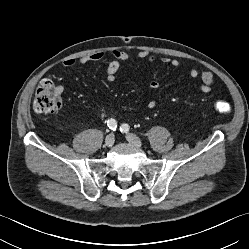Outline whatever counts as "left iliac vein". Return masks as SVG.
Masks as SVG:
<instances>
[{
  "label": "left iliac vein",
  "instance_id": "left-iliac-vein-1",
  "mask_svg": "<svg viewBox=\"0 0 249 249\" xmlns=\"http://www.w3.org/2000/svg\"><path fill=\"white\" fill-rule=\"evenodd\" d=\"M126 139L129 143L133 144L134 146L138 148L142 147L141 140L135 134L126 135Z\"/></svg>",
  "mask_w": 249,
  "mask_h": 249
}]
</instances>
